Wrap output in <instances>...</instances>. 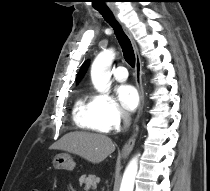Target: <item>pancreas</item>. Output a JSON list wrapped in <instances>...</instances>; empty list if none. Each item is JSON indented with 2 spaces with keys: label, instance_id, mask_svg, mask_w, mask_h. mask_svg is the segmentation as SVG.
I'll list each match as a JSON object with an SVG mask.
<instances>
[{
  "label": "pancreas",
  "instance_id": "cf45deb5",
  "mask_svg": "<svg viewBox=\"0 0 210 191\" xmlns=\"http://www.w3.org/2000/svg\"><path fill=\"white\" fill-rule=\"evenodd\" d=\"M100 179L95 175H82L79 178L80 185L84 184L86 190H96L97 184L99 183Z\"/></svg>",
  "mask_w": 210,
  "mask_h": 191
}]
</instances>
